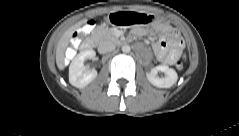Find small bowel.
<instances>
[{"instance_id":"c3829d8e","label":"small bowel","mask_w":239,"mask_h":136,"mask_svg":"<svg viewBox=\"0 0 239 136\" xmlns=\"http://www.w3.org/2000/svg\"><path fill=\"white\" fill-rule=\"evenodd\" d=\"M169 32L172 39V47L168 48V43L165 39H161L155 46V53L158 60L166 65H173L181 57L182 40L178 33L170 27L165 28ZM133 34L141 35L143 30L141 28L133 29Z\"/></svg>"}]
</instances>
